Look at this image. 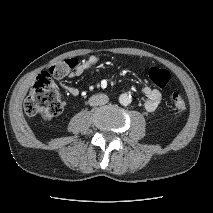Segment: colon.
Listing matches in <instances>:
<instances>
[{"label": "colon", "mask_w": 213, "mask_h": 213, "mask_svg": "<svg viewBox=\"0 0 213 213\" xmlns=\"http://www.w3.org/2000/svg\"><path fill=\"white\" fill-rule=\"evenodd\" d=\"M77 64L74 58L59 61L53 64L48 72L40 74L24 104V112L27 117H41L51 120L58 116L63 110V99L56 88L54 77H61L69 73ZM152 83L159 88H164L169 80L170 74L165 69L152 67L148 71ZM171 105L176 113H182L186 109V103L182 95L173 94Z\"/></svg>", "instance_id": "obj_1"}]
</instances>
